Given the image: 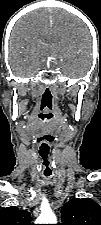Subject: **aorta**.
<instances>
[{
	"label": "aorta",
	"mask_w": 101,
	"mask_h": 225,
	"mask_svg": "<svg viewBox=\"0 0 101 225\" xmlns=\"http://www.w3.org/2000/svg\"><path fill=\"white\" fill-rule=\"evenodd\" d=\"M56 216L52 210H46L36 220L37 224H56Z\"/></svg>",
	"instance_id": "1"
}]
</instances>
